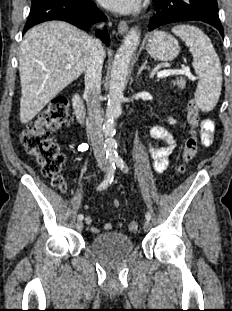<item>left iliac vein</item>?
<instances>
[{
    "mask_svg": "<svg viewBox=\"0 0 232 311\" xmlns=\"http://www.w3.org/2000/svg\"><path fill=\"white\" fill-rule=\"evenodd\" d=\"M150 228H151V222L149 220H146L144 222V230L148 231V230H150Z\"/></svg>",
    "mask_w": 232,
    "mask_h": 311,
    "instance_id": "left-iliac-vein-1",
    "label": "left iliac vein"
}]
</instances>
